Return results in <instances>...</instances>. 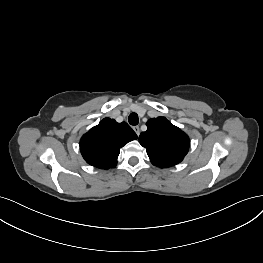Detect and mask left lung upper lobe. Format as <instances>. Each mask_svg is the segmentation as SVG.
Listing matches in <instances>:
<instances>
[{"label":"left lung upper lobe","instance_id":"1","mask_svg":"<svg viewBox=\"0 0 263 263\" xmlns=\"http://www.w3.org/2000/svg\"><path fill=\"white\" fill-rule=\"evenodd\" d=\"M147 131L139 136L153 165L166 168L180 163L189 150V138L165 117L147 121Z\"/></svg>","mask_w":263,"mask_h":263}]
</instances>
